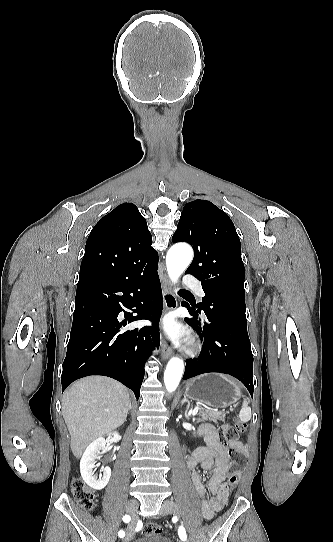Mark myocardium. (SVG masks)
Segmentation results:
<instances>
[{
    "label": "myocardium",
    "instance_id": "myocardium-1",
    "mask_svg": "<svg viewBox=\"0 0 333 542\" xmlns=\"http://www.w3.org/2000/svg\"><path fill=\"white\" fill-rule=\"evenodd\" d=\"M184 351L186 354L188 355H195L198 351V343L195 339H190L185 347H184Z\"/></svg>",
    "mask_w": 333,
    "mask_h": 542
}]
</instances>
